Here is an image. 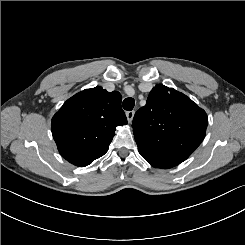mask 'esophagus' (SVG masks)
Here are the masks:
<instances>
[{
	"instance_id": "34e87169",
	"label": "esophagus",
	"mask_w": 245,
	"mask_h": 245,
	"mask_svg": "<svg viewBox=\"0 0 245 245\" xmlns=\"http://www.w3.org/2000/svg\"><path fill=\"white\" fill-rule=\"evenodd\" d=\"M126 116H127L128 122L131 123L134 117V111H127Z\"/></svg>"
}]
</instances>
